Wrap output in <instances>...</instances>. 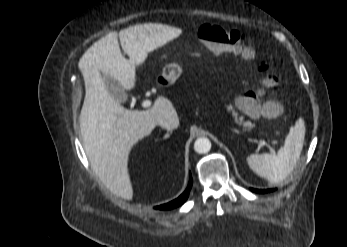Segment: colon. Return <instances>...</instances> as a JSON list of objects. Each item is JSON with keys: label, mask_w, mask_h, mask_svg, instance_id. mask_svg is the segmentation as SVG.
<instances>
[{"label": "colon", "mask_w": 347, "mask_h": 247, "mask_svg": "<svg viewBox=\"0 0 347 247\" xmlns=\"http://www.w3.org/2000/svg\"><path fill=\"white\" fill-rule=\"evenodd\" d=\"M198 38L212 54L217 56L225 53H236L245 59H250L255 54L245 35L236 29L217 24H204L198 30ZM259 71L268 74L270 66L263 62L259 66ZM277 85L278 77L271 72L264 81V89L273 90ZM264 96L263 91H249L240 97L237 106L243 113L252 118L262 116L265 113L278 114L281 111V104L273 101L264 103Z\"/></svg>", "instance_id": "colon-1"}]
</instances>
